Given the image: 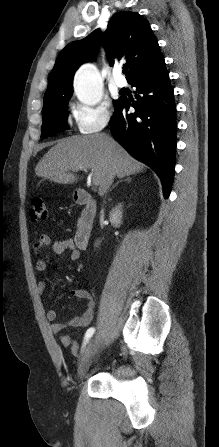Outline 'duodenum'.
Returning a JSON list of instances; mask_svg holds the SVG:
<instances>
[{"mask_svg": "<svg viewBox=\"0 0 219 447\" xmlns=\"http://www.w3.org/2000/svg\"><path fill=\"white\" fill-rule=\"evenodd\" d=\"M75 199L76 203L83 207V210L75 231L74 241L78 248L84 249L88 246L92 235L97 205L92 196L85 190H79Z\"/></svg>", "mask_w": 219, "mask_h": 447, "instance_id": "duodenum-1", "label": "duodenum"}]
</instances>
